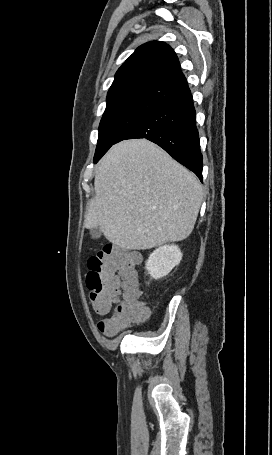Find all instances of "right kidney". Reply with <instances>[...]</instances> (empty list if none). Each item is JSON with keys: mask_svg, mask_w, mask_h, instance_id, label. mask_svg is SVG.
I'll use <instances>...</instances> for the list:
<instances>
[{"mask_svg": "<svg viewBox=\"0 0 272 455\" xmlns=\"http://www.w3.org/2000/svg\"><path fill=\"white\" fill-rule=\"evenodd\" d=\"M182 259L176 245H165L154 250L146 261V269L154 279L166 276Z\"/></svg>", "mask_w": 272, "mask_h": 455, "instance_id": "right-kidney-1", "label": "right kidney"}]
</instances>
